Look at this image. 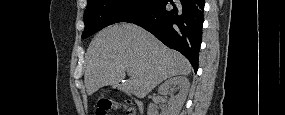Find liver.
Masks as SVG:
<instances>
[{"instance_id": "liver-1", "label": "liver", "mask_w": 285, "mask_h": 115, "mask_svg": "<svg viewBox=\"0 0 285 115\" xmlns=\"http://www.w3.org/2000/svg\"><path fill=\"white\" fill-rule=\"evenodd\" d=\"M127 70L131 77L128 88L138 98H144L167 78L190 74L191 65L180 53L136 25L116 24L101 30L87 52V94L118 84Z\"/></svg>"}]
</instances>
